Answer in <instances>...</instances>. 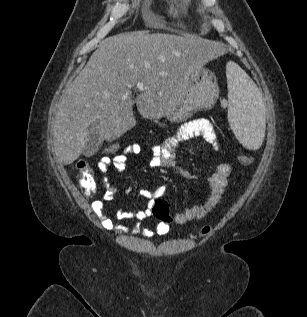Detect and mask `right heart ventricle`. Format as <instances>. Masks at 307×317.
I'll use <instances>...</instances> for the list:
<instances>
[{
  "label": "right heart ventricle",
  "mask_w": 307,
  "mask_h": 317,
  "mask_svg": "<svg viewBox=\"0 0 307 317\" xmlns=\"http://www.w3.org/2000/svg\"><path fill=\"white\" fill-rule=\"evenodd\" d=\"M174 4L177 7V9L170 10V13L172 15H176L179 11L182 12L183 14H186L187 8L189 5V0H178V1H175Z\"/></svg>",
  "instance_id": "obj_1"
}]
</instances>
